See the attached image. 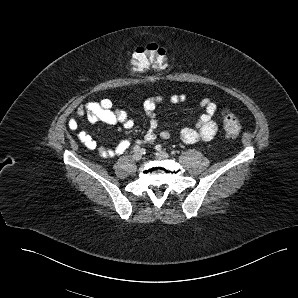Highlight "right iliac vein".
<instances>
[{
  "label": "right iliac vein",
  "instance_id": "obj_1",
  "mask_svg": "<svg viewBox=\"0 0 298 298\" xmlns=\"http://www.w3.org/2000/svg\"><path fill=\"white\" fill-rule=\"evenodd\" d=\"M142 158V154L140 152H135L133 155H132V159L134 161H139L140 159Z\"/></svg>",
  "mask_w": 298,
  "mask_h": 298
}]
</instances>
